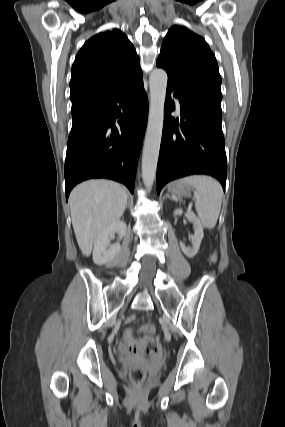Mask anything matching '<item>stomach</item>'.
<instances>
[{
	"instance_id": "0dacf381",
	"label": "stomach",
	"mask_w": 285,
	"mask_h": 427,
	"mask_svg": "<svg viewBox=\"0 0 285 427\" xmlns=\"http://www.w3.org/2000/svg\"><path fill=\"white\" fill-rule=\"evenodd\" d=\"M191 190V186L184 184L182 180L174 181L168 185V191L173 197L189 195Z\"/></svg>"
}]
</instances>
